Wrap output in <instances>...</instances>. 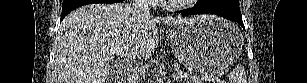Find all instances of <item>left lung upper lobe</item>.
I'll list each match as a JSON object with an SVG mask.
<instances>
[{
    "mask_svg": "<svg viewBox=\"0 0 307 83\" xmlns=\"http://www.w3.org/2000/svg\"><path fill=\"white\" fill-rule=\"evenodd\" d=\"M215 3H220V2H231L237 6H239V0H214Z\"/></svg>",
    "mask_w": 307,
    "mask_h": 83,
    "instance_id": "obj_1",
    "label": "left lung upper lobe"
}]
</instances>
